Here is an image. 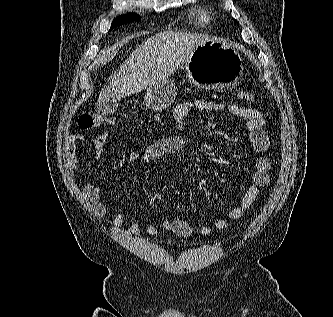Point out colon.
<instances>
[{
  "label": "colon",
  "instance_id": "obj_1",
  "mask_svg": "<svg viewBox=\"0 0 333 317\" xmlns=\"http://www.w3.org/2000/svg\"><path fill=\"white\" fill-rule=\"evenodd\" d=\"M237 96L239 99L246 102H252L254 99L253 94L249 91L239 90L237 92ZM109 122L110 120L107 117L97 114H83L79 118V126L83 130H92L94 128L108 124Z\"/></svg>",
  "mask_w": 333,
  "mask_h": 317
}]
</instances>
